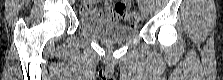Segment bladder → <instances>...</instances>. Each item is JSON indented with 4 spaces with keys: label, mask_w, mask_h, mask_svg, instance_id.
I'll use <instances>...</instances> for the list:
<instances>
[{
    "label": "bladder",
    "mask_w": 223,
    "mask_h": 80,
    "mask_svg": "<svg viewBox=\"0 0 223 80\" xmlns=\"http://www.w3.org/2000/svg\"><path fill=\"white\" fill-rule=\"evenodd\" d=\"M82 29L102 41H126L137 35V28L101 18L83 16L80 19Z\"/></svg>",
    "instance_id": "31cf9c89"
}]
</instances>
